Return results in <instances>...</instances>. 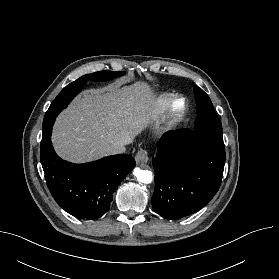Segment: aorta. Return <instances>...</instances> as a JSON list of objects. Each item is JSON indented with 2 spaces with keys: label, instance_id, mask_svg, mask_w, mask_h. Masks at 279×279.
I'll return each instance as SVG.
<instances>
[{
  "label": "aorta",
  "instance_id": "obj_1",
  "mask_svg": "<svg viewBox=\"0 0 279 279\" xmlns=\"http://www.w3.org/2000/svg\"><path fill=\"white\" fill-rule=\"evenodd\" d=\"M133 174L141 183L149 184L152 182L153 176L151 171L135 168Z\"/></svg>",
  "mask_w": 279,
  "mask_h": 279
}]
</instances>
